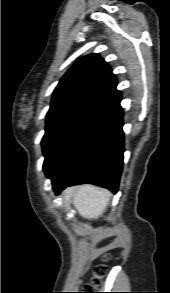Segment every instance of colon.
Listing matches in <instances>:
<instances>
[{"label":"colon","mask_w":170,"mask_h":293,"mask_svg":"<svg viewBox=\"0 0 170 293\" xmlns=\"http://www.w3.org/2000/svg\"><path fill=\"white\" fill-rule=\"evenodd\" d=\"M106 272L107 265L104 261L96 264L93 270L92 282L90 284H85L81 292L78 293H94L92 292L93 289L100 284Z\"/></svg>","instance_id":"5ec220e1"}]
</instances>
